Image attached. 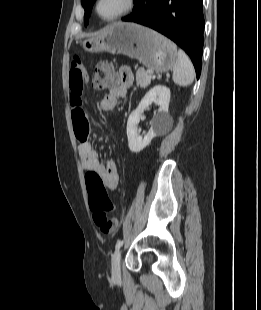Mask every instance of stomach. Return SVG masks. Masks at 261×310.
I'll use <instances>...</instances> for the list:
<instances>
[{
    "instance_id": "1",
    "label": "stomach",
    "mask_w": 261,
    "mask_h": 310,
    "mask_svg": "<svg viewBox=\"0 0 261 310\" xmlns=\"http://www.w3.org/2000/svg\"><path fill=\"white\" fill-rule=\"evenodd\" d=\"M81 44L88 52L107 51L137 59L159 73L172 69L178 57L177 48L170 40L136 23L116 22Z\"/></svg>"
}]
</instances>
